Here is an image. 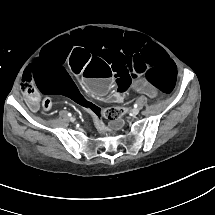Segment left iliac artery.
Wrapping results in <instances>:
<instances>
[{
	"instance_id": "left-iliac-artery-1",
	"label": "left iliac artery",
	"mask_w": 215,
	"mask_h": 215,
	"mask_svg": "<svg viewBox=\"0 0 215 215\" xmlns=\"http://www.w3.org/2000/svg\"><path fill=\"white\" fill-rule=\"evenodd\" d=\"M138 107V104H134V108H137Z\"/></svg>"
}]
</instances>
